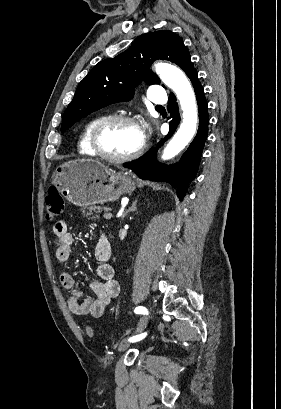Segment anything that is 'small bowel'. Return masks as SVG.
<instances>
[{
  "mask_svg": "<svg viewBox=\"0 0 281 409\" xmlns=\"http://www.w3.org/2000/svg\"><path fill=\"white\" fill-rule=\"evenodd\" d=\"M52 232L56 244V259L60 264H66L70 258L71 246L75 243V236L69 231L68 222L64 219L54 222ZM111 254V243L105 234H101L94 248V258L97 261L95 273L99 279L91 284L95 293L94 298H86L82 292L75 289L73 274L70 272L61 273L60 283L62 287L71 291L67 304L73 314H89L99 318L104 314L111 300L119 295L120 285L115 279L114 267L108 263Z\"/></svg>",
  "mask_w": 281,
  "mask_h": 409,
  "instance_id": "obj_1",
  "label": "small bowel"
}]
</instances>
